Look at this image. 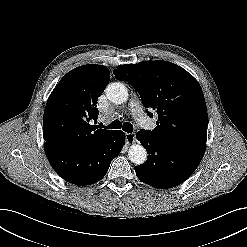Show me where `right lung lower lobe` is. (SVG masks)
Returning <instances> with one entry per match:
<instances>
[{
  "label": "right lung lower lobe",
  "mask_w": 247,
  "mask_h": 247,
  "mask_svg": "<svg viewBox=\"0 0 247 247\" xmlns=\"http://www.w3.org/2000/svg\"><path fill=\"white\" fill-rule=\"evenodd\" d=\"M125 144V134L116 130L93 148L73 152L45 144V154L57 174L78 186L90 185L101 180L111 161Z\"/></svg>",
  "instance_id": "1"
}]
</instances>
